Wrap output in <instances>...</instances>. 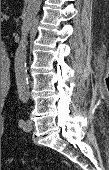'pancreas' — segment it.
Instances as JSON below:
<instances>
[{"instance_id":"pancreas-1","label":"pancreas","mask_w":109,"mask_h":170,"mask_svg":"<svg viewBox=\"0 0 109 170\" xmlns=\"http://www.w3.org/2000/svg\"><path fill=\"white\" fill-rule=\"evenodd\" d=\"M4 14L1 12V17L3 16ZM2 19V18H1Z\"/></svg>"}]
</instances>
